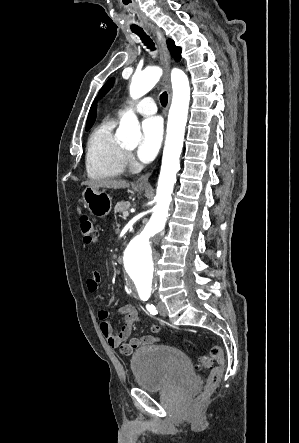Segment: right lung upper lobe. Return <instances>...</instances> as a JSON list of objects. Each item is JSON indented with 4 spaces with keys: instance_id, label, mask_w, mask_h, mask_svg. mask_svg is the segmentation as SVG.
<instances>
[{
    "instance_id": "right-lung-upper-lobe-1",
    "label": "right lung upper lobe",
    "mask_w": 299,
    "mask_h": 443,
    "mask_svg": "<svg viewBox=\"0 0 299 443\" xmlns=\"http://www.w3.org/2000/svg\"><path fill=\"white\" fill-rule=\"evenodd\" d=\"M95 118H96V107H95V103H93L91 106V109L89 111V114H88L86 126L93 125Z\"/></svg>"
}]
</instances>
